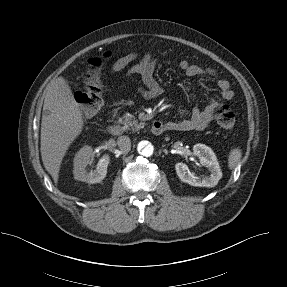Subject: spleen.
<instances>
[{
    "mask_svg": "<svg viewBox=\"0 0 287 287\" xmlns=\"http://www.w3.org/2000/svg\"><path fill=\"white\" fill-rule=\"evenodd\" d=\"M242 157L241 150L239 148L232 149L229 153L228 167L234 169L240 162Z\"/></svg>",
    "mask_w": 287,
    "mask_h": 287,
    "instance_id": "spleen-1",
    "label": "spleen"
}]
</instances>
